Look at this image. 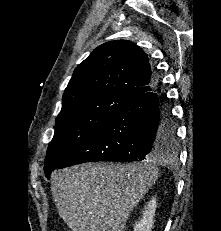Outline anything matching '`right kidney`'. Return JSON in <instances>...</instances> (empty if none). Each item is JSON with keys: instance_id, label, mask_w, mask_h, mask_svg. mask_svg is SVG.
Instances as JSON below:
<instances>
[{"instance_id": "right-kidney-1", "label": "right kidney", "mask_w": 221, "mask_h": 231, "mask_svg": "<svg viewBox=\"0 0 221 231\" xmlns=\"http://www.w3.org/2000/svg\"><path fill=\"white\" fill-rule=\"evenodd\" d=\"M157 207L156 199L153 198L145 206L142 218L135 223L134 231H151L154 225L155 210Z\"/></svg>"}]
</instances>
